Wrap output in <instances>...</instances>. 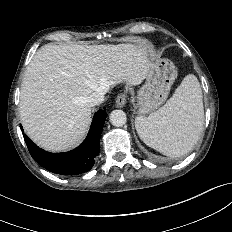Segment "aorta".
I'll list each match as a JSON object with an SVG mask.
<instances>
[{
	"label": "aorta",
	"mask_w": 232,
	"mask_h": 232,
	"mask_svg": "<svg viewBox=\"0 0 232 232\" xmlns=\"http://www.w3.org/2000/svg\"><path fill=\"white\" fill-rule=\"evenodd\" d=\"M109 119L111 124L117 127L123 126L127 121L126 114L122 110H113Z\"/></svg>",
	"instance_id": "aorta-1"
}]
</instances>
